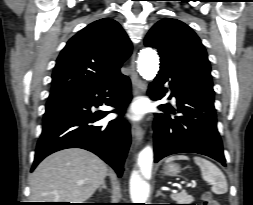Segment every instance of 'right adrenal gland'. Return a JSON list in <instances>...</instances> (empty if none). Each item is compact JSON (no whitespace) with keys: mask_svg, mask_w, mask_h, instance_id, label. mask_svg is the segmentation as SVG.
Masks as SVG:
<instances>
[{"mask_svg":"<svg viewBox=\"0 0 253 205\" xmlns=\"http://www.w3.org/2000/svg\"><path fill=\"white\" fill-rule=\"evenodd\" d=\"M102 189H107V186H106V184H105V181H103V183H102L101 186L99 187V192H101Z\"/></svg>","mask_w":253,"mask_h":205,"instance_id":"obj_1","label":"right adrenal gland"}]
</instances>
